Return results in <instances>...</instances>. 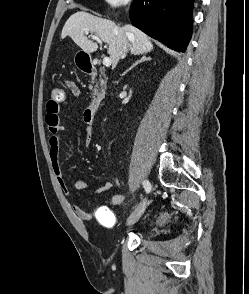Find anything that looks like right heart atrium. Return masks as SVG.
Wrapping results in <instances>:
<instances>
[{
  "label": "right heart atrium",
  "mask_w": 249,
  "mask_h": 294,
  "mask_svg": "<svg viewBox=\"0 0 249 294\" xmlns=\"http://www.w3.org/2000/svg\"><path fill=\"white\" fill-rule=\"evenodd\" d=\"M109 5L118 7V6H125L131 3L132 0H105Z\"/></svg>",
  "instance_id": "obj_1"
}]
</instances>
